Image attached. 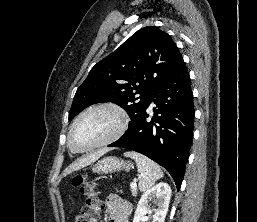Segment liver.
Segmentation results:
<instances>
[{
  "label": "liver",
  "mask_w": 257,
  "mask_h": 222,
  "mask_svg": "<svg viewBox=\"0 0 257 222\" xmlns=\"http://www.w3.org/2000/svg\"><path fill=\"white\" fill-rule=\"evenodd\" d=\"M109 149H102L99 150L93 154L87 155L86 157L78 160L77 162L73 163L70 165L64 172V175H68L74 171H77L83 167H86L90 165L92 162L96 161L99 157L107 153Z\"/></svg>",
  "instance_id": "liver-1"
}]
</instances>
